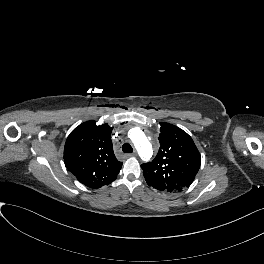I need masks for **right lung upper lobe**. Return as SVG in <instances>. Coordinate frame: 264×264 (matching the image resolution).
<instances>
[{"label":"right lung upper lobe","mask_w":264,"mask_h":264,"mask_svg":"<svg viewBox=\"0 0 264 264\" xmlns=\"http://www.w3.org/2000/svg\"><path fill=\"white\" fill-rule=\"evenodd\" d=\"M112 127L97 126L94 120L76 127L68 136L64 147V162L78 181L93 189L114 181L122 163L113 152Z\"/></svg>","instance_id":"1"}]
</instances>
